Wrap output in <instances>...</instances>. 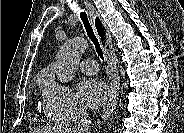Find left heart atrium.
Instances as JSON below:
<instances>
[{"label": "left heart atrium", "mask_w": 184, "mask_h": 133, "mask_svg": "<svg viewBox=\"0 0 184 133\" xmlns=\"http://www.w3.org/2000/svg\"><path fill=\"white\" fill-rule=\"evenodd\" d=\"M77 97L83 106L90 109H97L107 99V88L98 79H85L78 85Z\"/></svg>", "instance_id": "obj_1"}]
</instances>
